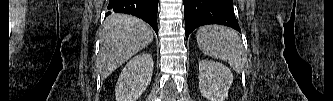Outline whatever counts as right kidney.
<instances>
[{
    "label": "right kidney",
    "instance_id": "right-kidney-1",
    "mask_svg": "<svg viewBox=\"0 0 333 101\" xmlns=\"http://www.w3.org/2000/svg\"><path fill=\"white\" fill-rule=\"evenodd\" d=\"M153 71L150 53L133 57L121 72L115 87L116 101H136L149 85Z\"/></svg>",
    "mask_w": 333,
    "mask_h": 101
}]
</instances>
